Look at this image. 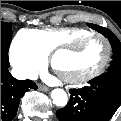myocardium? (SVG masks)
Here are the masks:
<instances>
[{
	"label": "myocardium",
	"instance_id": "myocardium-1",
	"mask_svg": "<svg viewBox=\"0 0 121 121\" xmlns=\"http://www.w3.org/2000/svg\"><path fill=\"white\" fill-rule=\"evenodd\" d=\"M92 38H100L105 43L104 60H103L102 64L95 70L85 72V73L74 72V73H69V74H63L57 69V67H56L57 57L63 52L73 53V50L75 48L74 45L60 46L52 53L51 58H50L51 67L56 73H58L62 77V79L64 81H66L68 83L86 81V80H89L91 78H94V77L100 75L104 71V69L107 67L109 60H110V56H111V50H112L110 41L108 40V38L105 35H103L101 33H86L81 36L80 41L87 42L88 40H90Z\"/></svg>",
	"mask_w": 121,
	"mask_h": 121
}]
</instances>
